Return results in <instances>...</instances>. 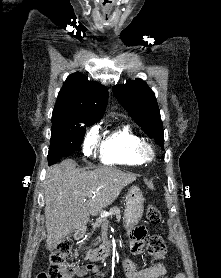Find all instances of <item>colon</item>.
I'll use <instances>...</instances> for the list:
<instances>
[{
	"instance_id": "colon-1",
	"label": "colon",
	"mask_w": 221,
	"mask_h": 278,
	"mask_svg": "<svg viewBox=\"0 0 221 278\" xmlns=\"http://www.w3.org/2000/svg\"><path fill=\"white\" fill-rule=\"evenodd\" d=\"M147 221L151 225H159L162 221L160 210L154 206H149L147 209ZM72 245L70 240L60 242L50 255L48 271L40 273L37 278H67L72 269L71 265L67 262ZM147 251L154 259L164 258L166 255L164 240L157 235L151 236L148 241Z\"/></svg>"
}]
</instances>
